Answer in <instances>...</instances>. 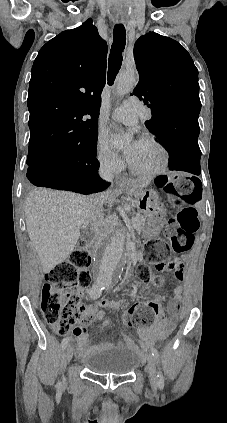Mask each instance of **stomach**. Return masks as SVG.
Masks as SVG:
<instances>
[{
	"instance_id": "1",
	"label": "stomach",
	"mask_w": 227,
	"mask_h": 423,
	"mask_svg": "<svg viewBox=\"0 0 227 423\" xmlns=\"http://www.w3.org/2000/svg\"><path fill=\"white\" fill-rule=\"evenodd\" d=\"M119 190H123V192H128V194H133V196H135L136 208H138L141 213H147V211L152 210V206L155 200H157V194L154 190H143V188H139L134 182L122 186Z\"/></svg>"
}]
</instances>
